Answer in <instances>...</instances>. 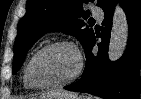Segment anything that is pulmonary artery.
Wrapping results in <instances>:
<instances>
[{
  "label": "pulmonary artery",
  "mask_w": 141,
  "mask_h": 99,
  "mask_svg": "<svg viewBox=\"0 0 141 99\" xmlns=\"http://www.w3.org/2000/svg\"><path fill=\"white\" fill-rule=\"evenodd\" d=\"M93 16L96 17L97 19H101L103 17V13L99 9H95L92 12Z\"/></svg>",
  "instance_id": "1"
}]
</instances>
